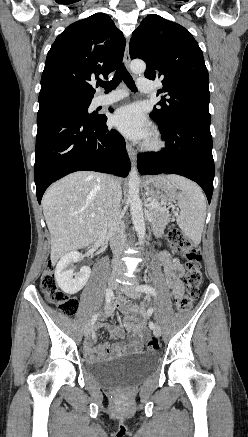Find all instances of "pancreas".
Here are the masks:
<instances>
[{"instance_id":"cf45deb5","label":"pancreas","mask_w":248,"mask_h":437,"mask_svg":"<svg viewBox=\"0 0 248 437\" xmlns=\"http://www.w3.org/2000/svg\"><path fill=\"white\" fill-rule=\"evenodd\" d=\"M149 211L153 217V229L157 233L168 224L170 221V214L163 204H159L158 206L150 205Z\"/></svg>"}]
</instances>
